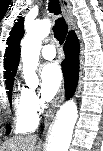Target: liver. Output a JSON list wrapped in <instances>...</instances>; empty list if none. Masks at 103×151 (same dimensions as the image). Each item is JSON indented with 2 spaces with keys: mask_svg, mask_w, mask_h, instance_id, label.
<instances>
[{
  "mask_svg": "<svg viewBox=\"0 0 103 151\" xmlns=\"http://www.w3.org/2000/svg\"><path fill=\"white\" fill-rule=\"evenodd\" d=\"M37 137L34 135L15 136L0 146V151H37Z\"/></svg>",
  "mask_w": 103,
  "mask_h": 151,
  "instance_id": "1",
  "label": "liver"
}]
</instances>
